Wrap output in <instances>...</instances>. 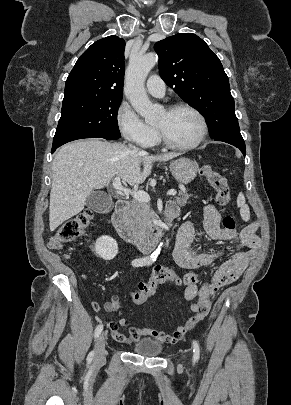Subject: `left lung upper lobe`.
Listing matches in <instances>:
<instances>
[{"label": "left lung upper lobe", "mask_w": 291, "mask_h": 405, "mask_svg": "<svg viewBox=\"0 0 291 405\" xmlns=\"http://www.w3.org/2000/svg\"><path fill=\"white\" fill-rule=\"evenodd\" d=\"M165 83L205 117L210 136L242 137L229 80L219 58L192 33H178L155 44Z\"/></svg>", "instance_id": "5c2ea615"}]
</instances>
